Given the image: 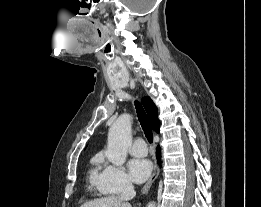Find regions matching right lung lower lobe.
<instances>
[{"label":"right lung lower lobe","mask_w":261,"mask_h":207,"mask_svg":"<svg viewBox=\"0 0 261 207\" xmlns=\"http://www.w3.org/2000/svg\"><path fill=\"white\" fill-rule=\"evenodd\" d=\"M157 159H158V163L160 164L161 163V149L160 147L157 148Z\"/></svg>","instance_id":"obj_1"}]
</instances>
